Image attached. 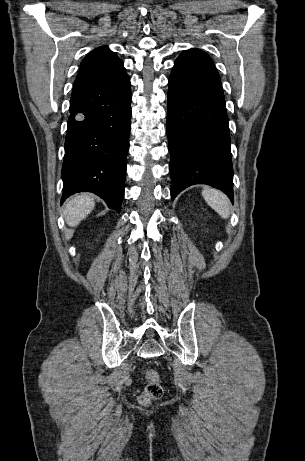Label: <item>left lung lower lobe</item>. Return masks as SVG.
I'll return each instance as SVG.
<instances>
[{"label":"left lung lower lobe","mask_w":305,"mask_h":461,"mask_svg":"<svg viewBox=\"0 0 305 461\" xmlns=\"http://www.w3.org/2000/svg\"><path fill=\"white\" fill-rule=\"evenodd\" d=\"M168 85L172 200L188 186L207 184L232 201L229 123L221 80L211 58L199 49L183 52Z\"/></svg>","instance_id":"0a47b994"}]
</instances>
